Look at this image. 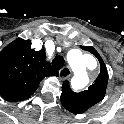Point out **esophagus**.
Masks as SVG:
<instances>
[{
  "instance_id": "34e87169",
  "label": "esophagus",
  "mask_w": 124,
  "mask_h": 124,
  "mask_svg": "<svg viewBox=\"0 0 124 124\" xmlns=\"http://www.w3.org/2000/svg\"><path fill=\"white\" fill-rule=\"evenodd\" d=\"M72 71L69 66L63 67L61 70H59V78L61 80L67 79L71 75Z\"/></svg>"
}]
</instances>
